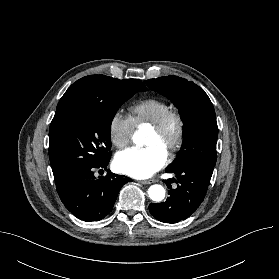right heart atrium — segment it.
<instances>
[{
  "label": "right heart atrium",
  "instance_id": "right-heart-atrium-1",
  "mask_svg": "<svg viewBox=\"0 0 279 279\" xmlns=\"http://www.w3.org/2000/svg\"><path fill=\"white\" fill-rule=\"evenodd\" d=\"M135 125L129 116L120 111L115 112L108 125L109 138L114 146L123 148L127 146L133 136Z\"/></svg>",
  "mask_w": 279,
  "mask_h": 279
}]
</instances>
